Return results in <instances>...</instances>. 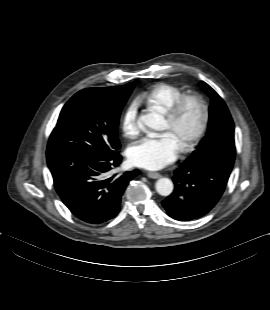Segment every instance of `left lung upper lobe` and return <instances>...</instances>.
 I'll list each match as a JSON object with an SVG mask.
<instances>
[{
    "label": "left lung upper lobe",
    "instance_id": "left-lung-upper-lobe-1",
    "mask_svg": "<svg viewBox=\"0 0 270 310\" xmlns=\"http://www.w3.org/2000/svg\"><path fill=\"white\" fill-rule=\"evenodd\" d=\"M202 83L211 98L208 132L184 163L231 171L235 159L234 123L222 98L208 84Z\"/></svg>",
    "mask_w": 270,
    "mask_h": 310
}]
</instances>
